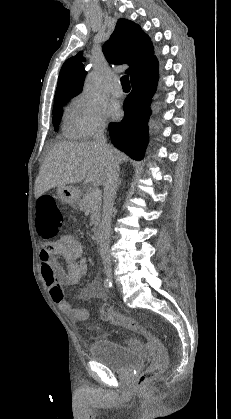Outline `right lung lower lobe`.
Masks as SVG:
<instances>
[{
	"instance_id": "1",
	"label": "right lung lower lobe",
	"mask_w": 231,
	"mask_h": 419,
	"mask_svg": "<svg viewBox=\"0 0 231 419\" xmlns=\"http://www.w3.org/2000/svg\"><path fill=\"white\" fill-rule=\"evenodd\" d=\"M158 69L155 60L130 78L132 91L124 102L125 116L120 123L109 125L113 144L135 160L143 158L148 144L150 104L158 84Z\"/></svg>"
}]
</instances>
